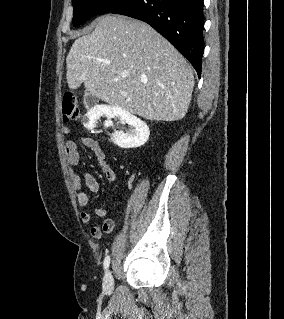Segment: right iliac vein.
<instances>
[{"instance_id":"1","label":"right iliac vein","mask_w":284,"mask_h":319,"mask_svg":"<svg viewBox=\"0 0 284 319\" xmlns=\"http://www.w3.org/2000/svg\"><path fill=\"white\" fill-rule=\"evenodd\" d=\"M114 288V279L112 272L107 270L103 278V289L106 293H111Z\"/></svg>"}]
</instances>
